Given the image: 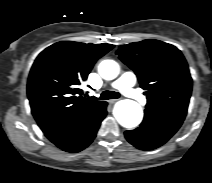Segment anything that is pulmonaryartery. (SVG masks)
<instances>
[{
    "mask_svg": "<svg viewBox=\"0 0 212 183\" xmlns=\"http://www.w3.org/2000/svg\"><path fill=\"white\" fill-rule=\"evenodd\" d=\"M136 81L137 77L133 72H126L114 81L111 84V87L118 89L125 96L132 98L141 104H146V97L134 88Z\"/></svg>",
    "mask_w": 212,
    "mask_h": 183,
    "instance_id": "1",
    "label": "pulmonary artery"
}]
</instances>
